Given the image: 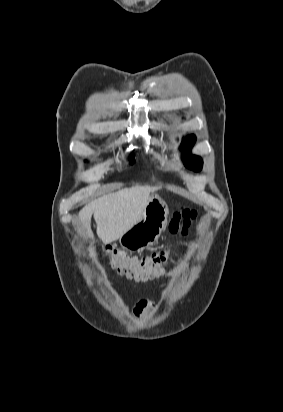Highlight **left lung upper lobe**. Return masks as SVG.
<instances>
[{
    "instance_id": "1",
    "label": "left lung upper lobe",
    "mask_w": 283,
    "mask_h": 412,
    "mask_svg": "<svg viewBox=\"0 0 283 412\" xmlns=\"http://www.w3.org/2000/svg\"><path fill=\"white\" fill-rule=\"evenodd\" d=\"M196 141L195 135L187 136L181 144L183 151V160L186 167L194 171H200L202 169L203 161L200 157L191 155L190 149Z\"/></svg>"
}]
</instances>
